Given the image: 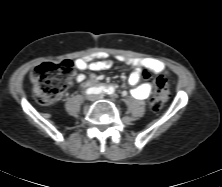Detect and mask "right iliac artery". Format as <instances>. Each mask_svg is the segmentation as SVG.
Wrapping results in <instances>:
<instances>
[{"instance_id":"1","label":"right iliac artery","mask_w":222,"mask_h":187,"mask_svg":"<svg viewBox=\"0 0 222 187\" xmlns=\"http://www.w3.org/2000/svg\"><path fill=\"white\" fill-rule=\"evenodd\" d=\"M102 91H105V87H103V86L99 87V88L92 87V88H88L86 90V93L87 94H98V93H100Z\"/></svg>"}]
</instances>
